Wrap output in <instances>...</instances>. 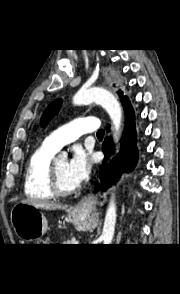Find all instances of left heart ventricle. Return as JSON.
I'll list each match as a JSON object with an SVG mask.
<instances>
[{
  "label": "left heart ventricle",
  "instance_id": "obj_1",
  "mask_svg": "<svg viewBox=\"0 0 180 294\" xmlns=\"http://www.w3.org/2000/svg\"><path fill=\"white\" fill-rule=\"evenodd\" d=\"M56 169L60 184L65 190H72L77 188V185L71 180L68 174V162L63 159L56 161Z\"/></svg>",
  "mask_w": 180,
  "mask_h": 294
}]
</instances>
